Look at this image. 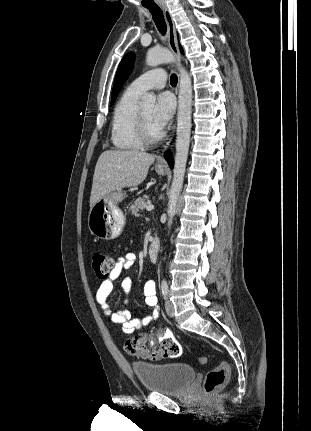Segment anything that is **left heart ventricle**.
I'll return each instance as SVG.
<instances>
[{"label": "left heart ventricle", "instance_id": "b2bd125f", "mask_svg": "<svg viewBox=\"0 0 311 431\" xmlns=\"http://www.w3.org/2000/svg\"><path fill=\"white\" fill-rule=\"evenodd\" d=\"M149 127V130L151 132V134L156 137L160 134V131L158 130V128L154 125L153 123V108H147L144 110H141Z\"/></svg>", "mask_w": 311, "mask_h": 431}]
</instances>
